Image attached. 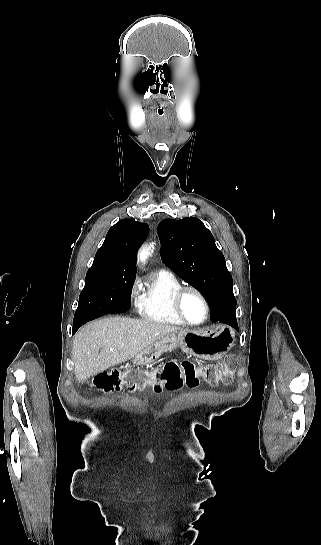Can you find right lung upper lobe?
I'll return each instance as SVG.
<instances>
[{"label": "right lung upper lobe", "instance_id": "right-lung-upper-lobe-1", "mask_svg": "<svg viewBox=\"0 0 321 545\" xmlns=\"http://www.w3.org/2000/svg\"><path fill=\"white\" fill-rule=\"evenodd\" d=\"M149 232L146 223L122 219L112 226L98 249L89 271L113 275H136V251Z\"/></svg>", "mask_w": 321, "mask_h": 545}]
</instances>
